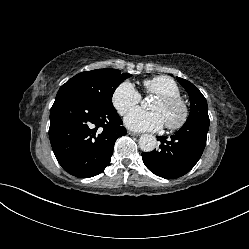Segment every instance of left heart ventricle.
I'll return each instance as SVG.
<instances>
[{"mask_svg":"<svg viewBox=\"0 0 249 249\" xmlns=\"http://www.w3.org/2000/svg\"><path fill=\"white\" fill-rule=\"evenodd\" d=\"M151 109L153 111L159 112L162 115L165 122L176 121L179 119L181 114L180 109L178 107L166 106L163 103H161L158 99H156L153 102Z\"/></svg>","mask_w":249,"mask_h":249,"instance_id":"obj_1","label":"left heart ventricle"}]
</instances>
